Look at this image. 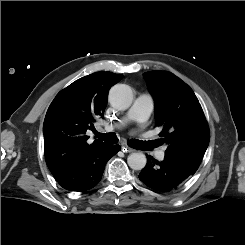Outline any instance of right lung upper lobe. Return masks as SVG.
I'll return each mask as SVG.
<instances>
[{"mask_svg":"<svg viewBox=\"0 0 245 245\" xmlns=\"http://www.w3.org/2000/svg\"><path fill=\"white\" fill-rule=\"evenodd\" d=\"M121 78V74L96 72L76 80L52 101L43 134L45 159L53 176L105 144L95 140L89 145L86 132L95 130L96 118H103L108 90Z\"/></svg>","mask_w":245,"mask_h":245,"instance_id":"cb5924a9","label":"right lung upper lobe"}]
</instances>
